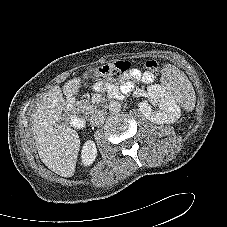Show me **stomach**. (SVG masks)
I'll return each instance as SVG.
<instances>
[{
  "instance_id": "stomach-1",
  "label": "stomach",
  "mask_w": 227,
  "mask_h": 227,
  "mask_svg": "<svg viewBox=\"0 0 227 227\" xmlns=\"http://www.w3.org/2000/svg\"><path fill=\"white\" fill-rule=\"evenodd\" d=\"M97 73L100 74V75H102V76H104V77H107L108 76V74L102 73L100 70H97Z\"/></svg>"
}]
</instances>
